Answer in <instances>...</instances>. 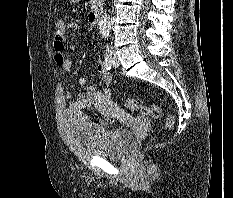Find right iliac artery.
Returning <instances> with one entry per match:
<instances>
[{"label": "right iliac artery", "instance_id": "right-iliac-artery-1", "mask_svg": "<svg viewBox=\"0 0 233 198\" xmlns=\"http://www.w3.org/2000/svg\"><path fill=\"white\" fill-rule=\"evenodd\" d=\"M106 51L107 52H106L105 59H104V66L107 70H110L113 64V58H112V54L109 51V48Z\"/></svg>", "mask_w": 233, "mask_h": 198}]
</instances>
